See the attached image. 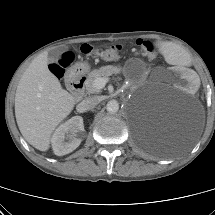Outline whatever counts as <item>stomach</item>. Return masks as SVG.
Here are the masks:
<instances>
[{
	"mask_svg": "<svg viewBox=\"0 0 215 215\" xmlns=\"http://www.w3.org/2000/svg\"><path fill=\"white\" fill-rule=\"evenodd\" d=\"M75 69L78 70V71L81 72V73H86V72L89 71L90 65H89L88 62L81 61V62H78V63L75 65Z\"/></svg>",
	"mask_w": 215,
	"mask_h": 215,
	"instance_id": "0dacf381",
	"label": "stomach"
}]
</instances>
